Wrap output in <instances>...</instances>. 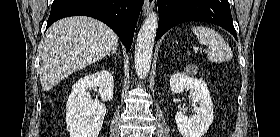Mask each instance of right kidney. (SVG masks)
<instances>
[{
	"label": "right kidney",
	"mask_w": 280,
	"mask_h": 137,
	"mask_svg": "<svg viewBox=\"0 0 280 137\" xmlns=\"http://www.w3.org/2000/svg\"><path fill=\"white\" fill-rule=\"evenodd\" d=\"M98 88L102 101L113 97L114 79L109 71L102 70L79 79L72 87L67 101L66 123L70 137H98L106 106L92 101L88 89Z\"/></svg>",
	"instance_id": "right-kidney-1"
}]
</instances>
